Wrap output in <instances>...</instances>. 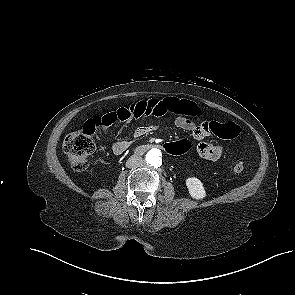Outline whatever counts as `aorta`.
Returning a JSON list of instances; mask_svg holds the SVG:
<instances>
[{
	"instance_id": "aorta-1",
	"label": "aorta",
	"mask_w": 295,
	"mask_h": 295,
	"mask_svg": "<svg viewBox=\"0 0 295 295\" xmlns=\"http://www.w3.org/2000/svg\"><path fill=\"white\" fill-rule=\"evenodd\" d=\"M146 161L153 167L158 168L162 165L161 152L158 149H152L146 154Z\"/></svg>"
}]
</instances>
